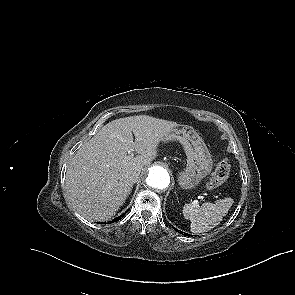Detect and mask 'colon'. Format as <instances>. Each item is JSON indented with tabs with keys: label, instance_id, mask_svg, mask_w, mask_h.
<instances>
[{
	"label": "colon",
	"instance_id": "obj_1",
	"mask_svg": "<svg viewBox=\"0 0 295 295\" xmlns=\"http://www.w3.org/2000/svg\"><path fill=\"white\" fill-rule=\"evenodd\" d=\"M230 170V163L226 159L220 161L208 180L206 187L208 189H216L221 186L228 179Z\"/></svg>",
	"mask_w": 295,
	"mask_h": 295
}]
</instances>
